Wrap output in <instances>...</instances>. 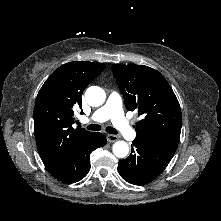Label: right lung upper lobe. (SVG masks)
Instances as JSON below:
<instances>
[{
	"instance_id": "cb5924a9",
	"label": "right lung upper lobe",
	"mask_w": 221,
	"mask_h": 221,
	"mask_svg": "<svg viewBox=\"0 0 221 221\" xmlns=\"http://www.w3.org/2000/svg\"><path fill=\"white\" fill-rule=\"evenodd\" d=\"M104 68L98 62H69L55 70L43 84L35 102L34 129L45 166L93 135L83 128L72 127L74 108H82L83 90Z\"/></svg>"
}]
</instances>
